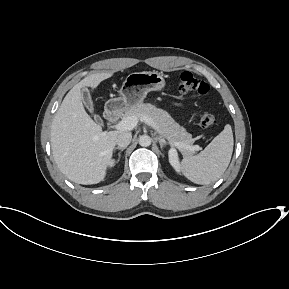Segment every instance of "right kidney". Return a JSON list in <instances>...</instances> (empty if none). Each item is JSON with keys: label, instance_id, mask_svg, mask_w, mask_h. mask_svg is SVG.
Wrapping results in <instances>:
<instances>
[{"label": "right kidney", "instance_id": "1", "mask_svg": "<svg viewBox=\"0 0 289 289\" xmlns=\"http://www.w3.org/2000/svg\"><path fill=\"white\" fill-rule=\"evenodd\" d=\"M109 166H110V167L114 166V160H113V161H110Z\"/></svg>", "mask_w": 289, "mask_h": 289}]
</instances>
